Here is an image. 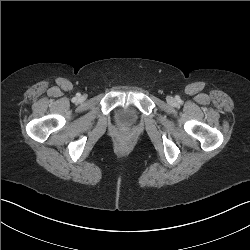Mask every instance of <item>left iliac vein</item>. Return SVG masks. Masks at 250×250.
<instances>
[{
	"label": "left iliac vein",
	"instance_id": "1",
	"mask_svg": "<svg viewBox=\"0 0 250 250\" xmlns=\"http://www.w3.org/2000/svg\"><path fill=\"white\" fill-rule=\"evenodd\" d=\"M167 101H168L169 104H174V103H175L173 97H168V98H167Z\"/></svg>",
	"mask_w": 250,
	"mask_h": 250
}]
</instances>
